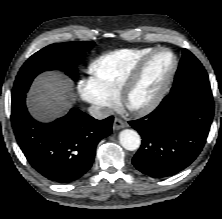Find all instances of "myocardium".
I'll list each match as a JSON object with an SVG mask.
<instances>
[{
  "label": "myocardium",
  "instance_id": "1",
  "mask_svg": "<svg viewBox=\"0 0 222 219\" xmlns=\"http://www.w3.org/2000/svg\"><path fill=\"white\" fill-rule=\"evenodd\" d=\"M167 52L172 56V66L157 93L146 103L134 105L130 98L134 90L141 82L148 63L156 55ZM178 58L175 52L166 47L154 48L152 51L143 56L136 64L130 75L125 79L119 92V101L123 107L136 116H143L155 110L166 96L178 69Z\"/></svg>",
  "mask_w": 222,
  "mask_h": 219
}]
</instances>
